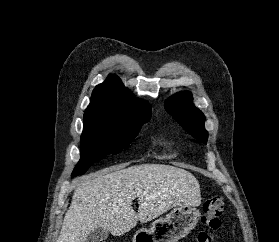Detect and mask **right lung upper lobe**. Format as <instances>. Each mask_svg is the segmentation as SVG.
<instances>
[{
	"mask_svg": "<svg viewBox=\"0 0 279 242\" xmlns=\"http://www.w3.org/2000/svg\"><path fill=\"white\" fill-rule=\"evenodd\" d=\"M151 106L133 96L115 75L95 87L84 119H103L118 124H138L149 121Z\"/></svg>",
	"mask_w": 279,
	"mask_h": 242,
	"instance_id": "right-lung-upper-lobe-1",
	"label": "right lung upper lobe"
}]
</instances>
